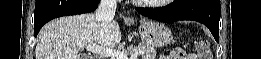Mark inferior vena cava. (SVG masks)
Masks as SVG:
<instances>
[{
    "label": "inferior vena cava",
    "instance_id": "1",
    "mask_svg": "<svg viewBox=\"0 0 261 59\" xmlns=\"http://www.w3.org/2000/svg\"><path fill=\"white\" fill-rule=\"evenodd\" d=\"M116 7L117 0H101L95 13L96 20L98 22L113 20Z\"/></svg>",
    "mask_w": 261,
    "mask_h": 59
}]
</instances>
